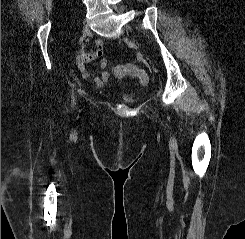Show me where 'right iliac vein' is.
I'll use <instances>...</instances> for the list:
<instances>
[{
    "mask_svg": "<svg viewBox=\"0 0 245 239\" xmlns=\"http://www.w3.org/2000/svg\"><path fill=\"white\" fill-rule=\"evenodd\" d=\"M83 36L84 37H87V36H89L90 35V27L88 26V25H85L84 27H83Z\"/></svg>",
    "mask_w": 245,
    "mask_h": 239,
    "instance_id": "63e3f726",
    "label": "right iliac vein"
}]
</instances>
